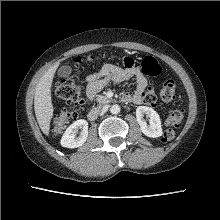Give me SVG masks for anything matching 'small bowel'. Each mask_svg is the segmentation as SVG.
Here are the masks:
<instances>
[{"instance_id": "obj_1", "label": "small bowel", "mask_w": 220, "mask_h": 220, "mask_svg": "<svg viewBox=\"0 0 220 220\" xmlns=\"http://www.w3.org/2000/svg\"><path fill=\"white\" fill-rule=\"evenodd\" d=\"M135 77L136 89L134 93H124L123 101L143 104L144 93L147 90V80L142 75L137 67H134L131 62L126 63L124 68L105 66L101 70L94 72L86 79V98L88 103L95 100L98 91L107 82L121 83Z\"/></svg>"}]
</instances>
